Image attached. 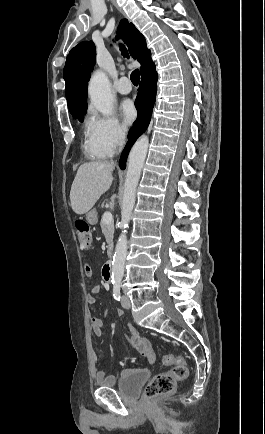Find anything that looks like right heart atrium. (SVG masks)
<instances>
[{"instance_id": "right-heart-atrium-1", "label": "right heart atrium", "mask_w": 265, "mask_h": 434, "mask_svg": "<svg viewBox=\"0 0 265 434\" xmlns=\"http://www.w3.org/2000/svg\"><path fill=\"white\" fill-rule=\"evenodd\" d=\"M101 109L98 106L89 108L86 142L87 153L94 154L99 159H115L116 154H122L127 147V132H125L122 118L104 112L98 115ZM111 113H116V108H111Z\"/></svg>"}]
</instances>
